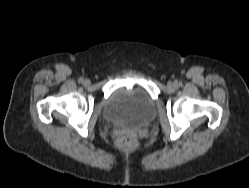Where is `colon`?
Segmentation results:
<instances>
[{"label":"colon","mask_w":249,"mask_h":188,"mask_svg":"<svg viewBox=\"0 0 249 188\" xmlns=\"http://www.w3.org/2000/svg\"><path fill=\"white\" fill-rule=\"evenodd\" d=\"M137 144V137L132 132H124L118 139V146L121 149L127 150L135 147Z\"/></svg>","instance_id":"colon-1"}]
</instances>
